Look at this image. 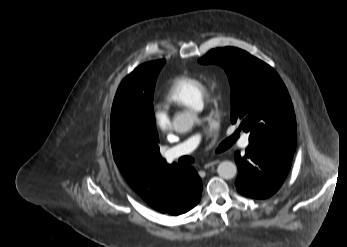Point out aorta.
I'll return each instance as SVG.
<instances>
[{
	"label": "aorta",
	"mask_w": 347,
	"mask_h": 247,
	"mask_svg": "<svg viewBox=\"0 0 347 247\" xmlns=\"http://www.w3.org/2000/svg\"><path fill=\"white\" fill-rule=\"evenodd\" d=\"M196 119L193 113H180L173 119V128L178 133H186L193 127ZM217 173L221 178L232 179L237 173V166L231 161H222L218 165Z\"/></svg>",
	"instance_id": "obj_1"
}]
</instances>
